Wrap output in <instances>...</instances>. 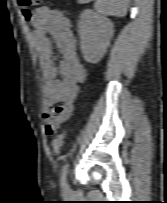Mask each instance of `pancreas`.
<instances>
[{
  "label": "pancreas",
  "instance_id": "obj_1",
  "mask_svg": "<svg viewBox=\"0 0 167 203\" xmlns=\"http://www.w3.org/2000/svg\"><path fill=\"white\" fill-rule=\"evenodd\" d=\"M79 3H87V0H78Z\"/></svg>",
  "mask_w": 167,
  "mask_h": 203
}]
</instances>
